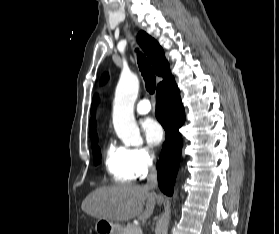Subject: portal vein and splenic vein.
<instances>
[{
    "instance_id": "portal-vein-and-splenic-vein-1",
    "label": "portal vein and splenic vein",
    "mask_w": 279,
    "mask_h": 234,
    "mask_svg": "<svg viewBox=\"0 0 279 234\" xmlns=\"http://www.w3.org/2000/svg\"><path fill=\"white\" fill-rule=\"evenodd\" d=\"M136 231H140V232H142L140 227H138V228L136 229Z\"/></svg>"
}]
</instances>
